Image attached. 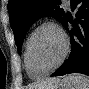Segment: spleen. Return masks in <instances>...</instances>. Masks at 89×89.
Masks as SVG:
<instances>
[{
  "instance_id": "3e777b00",
  "label": "spleen",
  "mask_w": 89,
  "mask_h": 89,
  "mask_svg": "<svg viewBox=\"0 0 89 89\" xmlns=\"http://www.w3.org/2000/svg\"><path fill=\"white\" fill-rule=\"evenodd\" d=\"M64 81L68 83L71 89H88L89 79L82 74H70L64 77Z\"/></svg>"
}]
</instances>
